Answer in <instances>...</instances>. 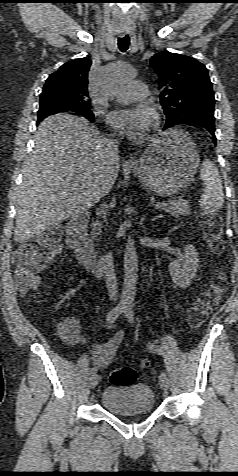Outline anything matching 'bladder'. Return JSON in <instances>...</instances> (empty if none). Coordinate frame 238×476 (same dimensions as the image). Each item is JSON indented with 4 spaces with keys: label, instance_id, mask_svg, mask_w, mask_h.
Segmentation results:
<instances>
[{
    "label": "bladder",
    "instance_id": "obj_1",
    "mask_svg": "<svg viewBox=\"0 0 238 476\" xmlns=\"http://www.w3.org/2000/svg\"><path fill=\"white\" fill-rule=\"evenodd\" d=\"M101 406L116 416H132L151 412L155 407V395L146 384L109 385L104 388Z\"/></svg>",
    "mask_w": 238,
    "mask_h": 476
}]
</instances>
